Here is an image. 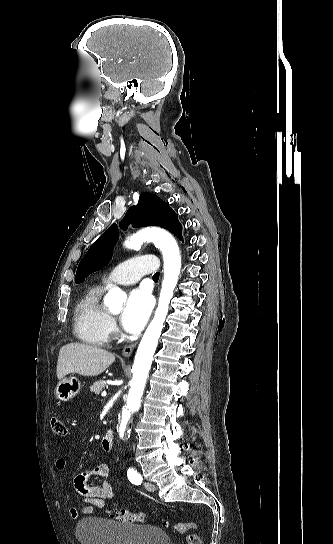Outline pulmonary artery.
Masks as SVG:
<instances>
[{
  "label": "pulmonary artery",
  "mask_w": 333,
  "mask_h": 544,
  "mask_svg": "<svg viewBox=\"0 0 333 544\" xmlns=\"http://www.w3.org/2000/svg\"><path fill=\"white\" fill-rule=\"evenodd\" d=\"M156 270L157 261L154 256H135L113 268L103 279V283L129 285L139 281L143 275L153 273Z\"/></svg>",
  "instance_id": "pulmonary-artery-1"
}]
</instances>
